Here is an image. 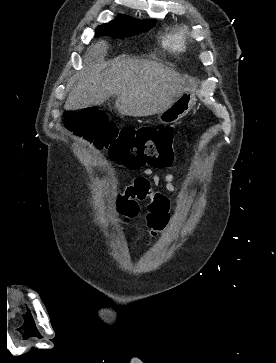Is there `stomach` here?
Segmentation results:
<instances>
[{
	"mask_svg": "<svg viewBox=\"0 0 276 363\" xmlns=\"http://www.w3.org/2000/svg\"><path fill=\"white\" fill-rule=\"evenodd\" d=\"M195 102V95L190 91H185L170 106L157 113V119L163 124L175 123L193 108Z\"/></svg>",
	"mask_w": 276,
	"mask_h": 363,
	"instance_id": "0dacf381",
	"label": "stomach"
}]
</instances>
